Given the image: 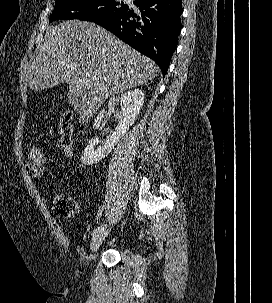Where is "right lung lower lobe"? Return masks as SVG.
<instances>
[{
  "label": "right lung lower lobe",
  "instance_id": "1",
  "mask_svg": "<svg viewBox=\"0 0 272 303\" xmlns=\"http://www.w3.org/2000/svg\"><path fill=\"white\" fill-rule=\"evenodd\" d=\"M182 0H137L136 14L127 8L95 23L153 59L167 73L181 31Z\"/></svg>",
  "mask_w": 272,
  "mask_h": 303
}]
</instances>
